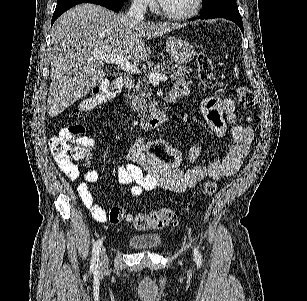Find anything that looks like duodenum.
Segmentation results:
<instances>
[{
  "mask_svg": "<svg viewBox=\"0 0 307 301\" xmlns=\"http://www.w3.org/2000/svg\"><path fill=\"white\" fill-rule=\"evenodd\" d=\"M123 84L127 90H130L134 86V80L132 78H125L123 80ZM175 99H176V96L171 95L169 98V102H173ZM165 118H166L165 112L161 111L157 113L156 115L141 121L140 125L144 129H151L161 124L165 120Z\"/></svg>",
  "mask_w": 307,
  "mask_h": 301,
  "instance_id": "410a0bca",
  "label": "duodenum"
}]
</instances>
